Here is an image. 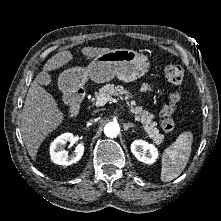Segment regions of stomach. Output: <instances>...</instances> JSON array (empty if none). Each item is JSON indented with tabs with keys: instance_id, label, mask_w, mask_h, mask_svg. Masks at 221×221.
Masks as SVG:
<instances>
[{
	"instance_id": "obj_1",
	"label": "stomach",
	"mask_w": 221,
	"mask_h": 221,
	"mask_svg": "<svg viewBox=\"0 0 221 221\" xmlns=\"http://www.w3.org/2000/svg\"><path fill=\"white\" fill-rule=\"evenodd\" d=\"M150 62L143 53L131 49H111L96 56L86 67H73L62 72L60 79L71 87L82 86L89 78L104 83L117 77L132 82L143 77Z\"/></svg>"
}]
</instances>
